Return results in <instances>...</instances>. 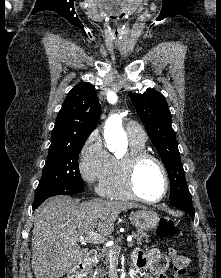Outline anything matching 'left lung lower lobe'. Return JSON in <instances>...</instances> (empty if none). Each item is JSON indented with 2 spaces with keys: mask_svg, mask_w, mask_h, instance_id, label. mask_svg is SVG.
<instances>
[{
  "mask_svg": "<svg viewBox=\"0 0 221 278\" xmlns=\"http://www.w3.org/2000/svg\"><path fill=\"white\" fill-rule=\"evenodd\" d=\"M171 203L174 206L188 213L191 216V218L194 220V208L192 206V199H181Z\"/></svg>",
  "mask_w": 221,
  "mask_h": 278,
  "instance_id": "obj_1",
  "label": "left lung lower lobe"
}]
</instances>
